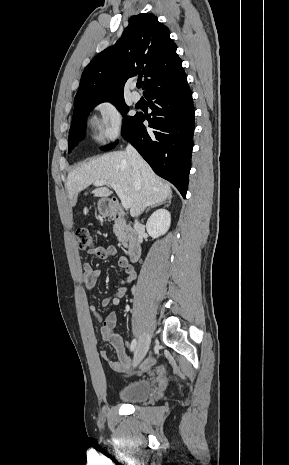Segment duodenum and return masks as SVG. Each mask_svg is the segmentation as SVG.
<instances>
[{
	"label": "duodenum",
	"mask_w": 289,
	"mask_h": 465,
	"mask_svg": "<svg viewBox=\"0 0 289 465\" xmlns=\"http://www.w3.org/2000/svg\"><path fill=\"white\" fill-rule=\"evenodd\" d=\"M107 216L113 220L120 222L128 237L127 255L131 262H136L141 256V239L128 222L125 213L120 207L117 199H111L105 207Z\"/></svg>",
	"instance_id": "410a0bca"
}]
</instances>
